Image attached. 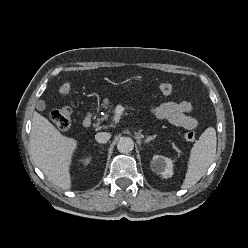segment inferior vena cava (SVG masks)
I'll use <instances>...</instances> for the list:
<instances>
[{
  "label": "inferior vena cava",
  "mask_w": 248,
  "mask_h": 248,
  "mask_svg": "<svg viewBox=\"0 0 248 248\" xmlns=\"http://www.w3.org/2000/svg\"><path fill=\"white\" fill-rule=\"evenodd\" d=\"M111 138V134L107 132H99L95 135V139L98 143H107Z\"/></svg>",
  "instance_id": "inferior-vena-cava-1"
}]
</instances>
